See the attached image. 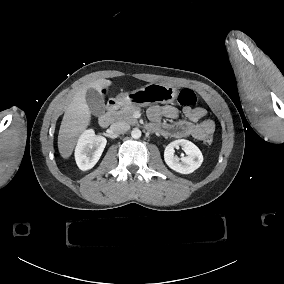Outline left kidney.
I'll list each match as a JSON object with an SVG mask.
<instances>
[{
	"label": "left kidney",
	"mask_w": 284,
	"mask_h": 284,
	"mask_svg": "<svg viewBox=\"0 0 284 284\" xmlns=\"http://www.w3.org/2000/svg\"><path fill=\"white\" fill-rule=\"evenodd\" d=\"M181 146L186 157L178 158L174 155L175 149ZM166 164L176 172L190 174L198 169L203 162V155L200 149L192 142L185 139H178L168 144L164 151Z\"/></svg>",
	"instance_id": "1"
}]
</instances>
